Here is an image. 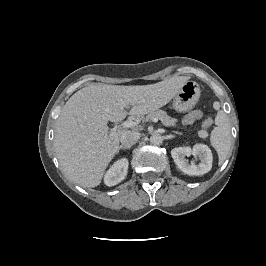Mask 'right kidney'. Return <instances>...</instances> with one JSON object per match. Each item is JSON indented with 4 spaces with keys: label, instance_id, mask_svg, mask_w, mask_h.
I'll list each match as a JSON object with an SVG mask.
<instances>
[{
    "label": "right kidney",
    "instance_id": "1",
    "mask_svg": "<svg viewBox=\"0 0 266 266\" xmlns=\"http://www.w3.org/2000/svg\"><path fill=\"white\" fill-rule=\"evenodd\" d=\"M128 170V160L122 158L115 162L107 171L104 177V183L107 186H114L125 179Z\"/></svg>",
    "mask_w": 266,
    "mask_h": 266
}]
</instances>
